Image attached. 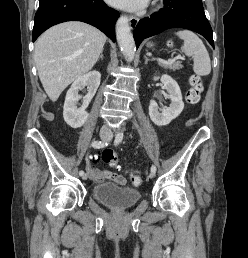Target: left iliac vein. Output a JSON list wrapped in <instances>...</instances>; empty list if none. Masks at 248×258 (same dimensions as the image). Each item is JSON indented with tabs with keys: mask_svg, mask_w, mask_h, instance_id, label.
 <instances>
[{
	"mask_svg": "<svg viewBox=\"0 0 248 258\" xmlns=\"http://www.w3.org/2000/svg\"><path fill=\"white\" fill-rule=\"evenodd\" d=\"M110 139H111V136H109L108 140H110ZM149 177H150L151 179H153V178L155 177V172H151V173L149 174Z\"/></svg>",
	"mask_w": 248,
	"mask_h": 258,
	"instance_id": "4c4485c4",
	"label": "left iliac vein"
}]
</instances>
